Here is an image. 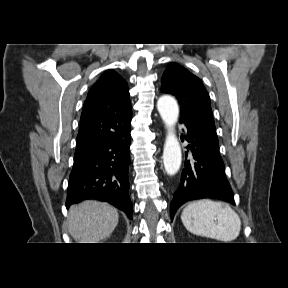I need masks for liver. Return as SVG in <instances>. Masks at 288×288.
Returning a JSON list of instances; mask_svg holds the SVG:
<instances>
[{
  "label": "liver",
  "mask_w": 288,
  "mask_h": 288,
  "mask_svg": "<svg viewBox=\"0 0 288 288\" xmlns=\"http://www.w3.org/2000/svg\"><path fill=\"white\" fill-rule=\"evenodd\" d=\"M68 221V231L77 243H98L114 231L119 214L108 203L87 200L69 209Z\"/></svg>",
  "instance_id": "6515ba94"
}]
</instances>
